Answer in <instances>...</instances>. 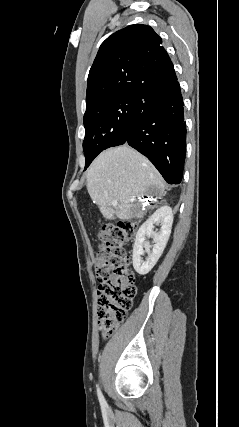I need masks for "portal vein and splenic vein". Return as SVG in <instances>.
Instances as JSON below:
<instances>
[{
	"instance_id": "portal-vein-and-splenic-vein-1",
	"label": "portal vein and splenic vein",
	"mask_w": 239,
	"mask_h": 427,
	"mask_svg": "<svg viewBox=\"0 0 239 427\" xmlns=\"http://www.w3.org/2000/svg\"><path fill=\"white\" fill-rule=\"evenodd\" d=\"M112 204H113V205H116V204H117V201H116V200H113V201H112Z\"/></svg>"
}]
</instances>
